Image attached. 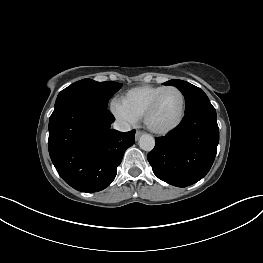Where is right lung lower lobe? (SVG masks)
<instances>
[{"label": "right lung lower lobe", "instance_id": "obj_1", "mask_svg": "<svg viewBox=\"0 0 263 263\" xmlns=\"http://www.w3.org/2000/svg\"><path fill=\"white\" fill-rule=\"evenodd\" d=\"M115 120L107 108L70 103L49 120L48 149L61 178L81 192H97L111 184L123 154L135 143V130L110 129Z\"/></svg>", "mask_w": 263, "mask_h": 263}]
</instances>
